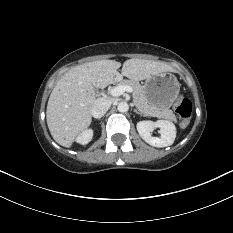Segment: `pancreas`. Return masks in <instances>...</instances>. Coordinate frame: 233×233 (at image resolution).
Listing matches in <instances>:
<instances>
[{"label": "pancreas", "instance_id": "cf45deb5", "mask_svg": "<svg viewBox=\"0 0 233 233\" xmlns=\"http://www.w3.org/2000/svg\"><path fill=\"white\" fill-rule=\"evenodd\" d=\"M118 86H130L132 88L133 103L140 112L147 116L164 118L176 122V116L170 109H159L150 105L146 99L143 87L133 80H122Z\"/></svg>", "mask_w": 233, "mask_h": 233}]
</instances>
